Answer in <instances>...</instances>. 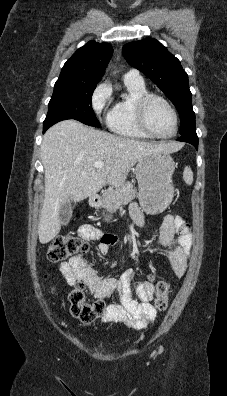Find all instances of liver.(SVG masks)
Masks as SVG:
<instances>
[{
  "label": "liver",
  "mask_w": 227,
  "mask_h": 396,
  "mask_svg": "<svg viewBox=\"0 0 227 396\" xmlns=\"http://www.w3.org/2000/svg\"><path fill=\"white\" fill-rule=\"evenodd\" d=\"M180 148L175 142L152 143L116 136L71 119L52 126L41 144L45 197L38 224L40 243L50 242L60 232L63 203L70 199L80 202L105 184L119 187L145 156ZM96 161H103L104 166L95 168Z\"/></svg>",
  "instance_id": "1"
}]
</instances>
